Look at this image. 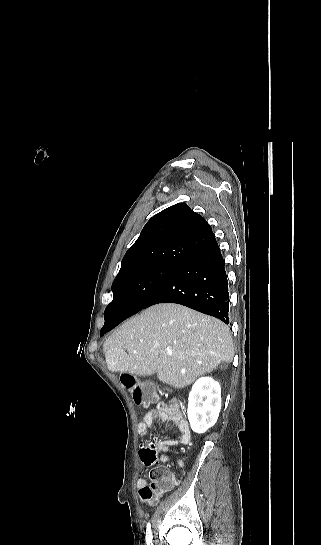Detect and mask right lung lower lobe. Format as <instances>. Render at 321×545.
<instances>
[{"instance_id":"98d812e1","label":"right lung lower lobe","mask_w":321,"mask_h":545,"mask_svg":"<svg viewBox=\"0 0 321 545\" xmlns=\"http://www.w3.org/2000/svg\"><path fill=\"white\" fill-rule=\"evenodd\" d=\"M158 303L181 304L229 323L228 281L215 238L184 262L143 308ZM108 307L105 315L109 322L100 336L125 320L118 318L116 309Z\"/></svg>"}]
</instances>
